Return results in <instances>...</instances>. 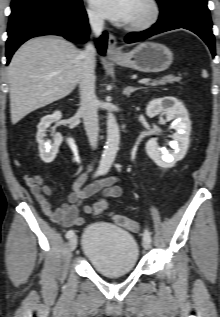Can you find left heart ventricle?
<instances>
[{
	"instance_id": "b2bd125f",
	"label": "left heart ventricle",
	"mask_w": 220,
	"mask_h": 317,
	"mask_svg": "<svg viewBox=\"0 0 220 317\" xmlns=\"http://www.w3.org/2000/svg\"><path fill=\"white\" fill-rule=\"evenodd\" d=\"M147 12L148 9L143 0H136L133 6L132 16L129 23L143 18L147 14Z\"/></svg>"
}]
</instances>
